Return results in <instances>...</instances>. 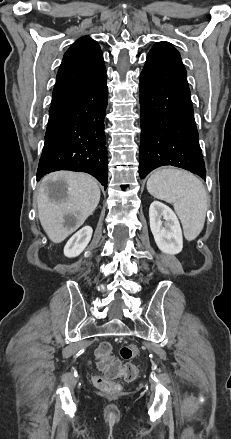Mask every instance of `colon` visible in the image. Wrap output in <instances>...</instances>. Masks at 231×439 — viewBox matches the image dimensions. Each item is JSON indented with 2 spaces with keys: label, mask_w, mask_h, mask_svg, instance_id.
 <instances>
[{
  "label": "colon",
  "mask_w": 231,
  "mask_h": 439,
  "mask_svg": "<svg viewBox=\"0 0 231 439\" xmlns=\"http://www.w3.org/2000/svg\"><path fill=\"white\" fill-rule=\"evenodd\" d=\"M139 354L138 347L134 345L124 346L120 350V355L124 360H129ZM98 368L102 374L93 376L94 384L107 391H115L119 389V385L115 380L123 377L126 381H132L137 376V368L132 364L123 365L119 360L115 359L111 354V348L104 343L97 349Z\"/></svg>",
  "instance_id": "colon-1"
}]
</instances>
